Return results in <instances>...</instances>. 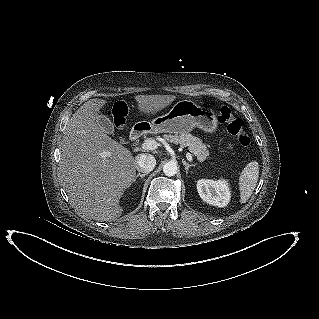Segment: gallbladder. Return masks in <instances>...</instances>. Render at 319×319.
Segmentation results:
<instances>
[{
	"mask_svg": "<svg viewBox=\"0 0 319 319\" xmlns=\"http://www.w3.org/2000/svg\"><path fill=\"white\" fill-rule=\"evenodd\" d=\"M97 124L107 133L110 135L114 134V125L113 123L110 121V119L108 117H106L105 115H98L97 119Z\"/></svg>",
	"mask_w": 319,
	"mask_h": 319,
	"instance_id": "obj_1",
	"label": "gallbladder"
}]
</instances>
